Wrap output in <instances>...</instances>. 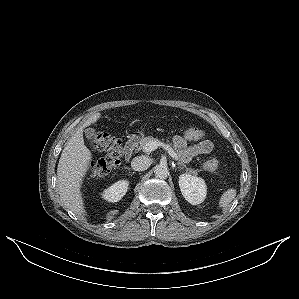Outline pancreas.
Segmentation results:
<instances>
[{
	"label": "pancreas",
	"mask_w": 299,
	"mask_h": 299,
	"mask_svg": "<svg viewBox=\"0 0 299 299\" xmlns=\"http://www.w3.org/2000/svg\"><path fill=\"white\" fill-rule=\"evenodd\" d=\"M149 142H157L160 143V141L157 138H154L152 136L144 137L139 141V150H143L145 145L148 144ZM170 146V145H169Z\"/></svg>",
	"instance_id": "obj_1"
}]
</instances>
